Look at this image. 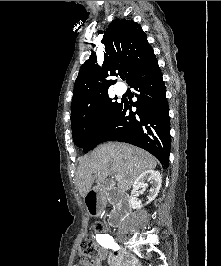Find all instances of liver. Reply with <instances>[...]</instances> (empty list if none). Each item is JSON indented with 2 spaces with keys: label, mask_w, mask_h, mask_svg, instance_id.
Instances as JSON below:
<instances>
[{
  "label": "liver",
  "mask_w": 221,
  "mask_h": 266,
  "mask_svg": "<svg viewBox=\"0 0 221 266\" xmlns=\"http://www.w3.org/2000/svg\"><path fill=\"white\" fill-rule=\"evenodd\" d=\"M157 160L147 151L125 143L100 145L79 164L76 173V186L82 197L96 183H103L110 175H120L117 187L120 191L129 190L137 177L147 170H153ZM95 174V177L92 175ZM114 185V183H112Z\"/></svg>",
  "instance_id": "liver-1"
}]
</instances>
